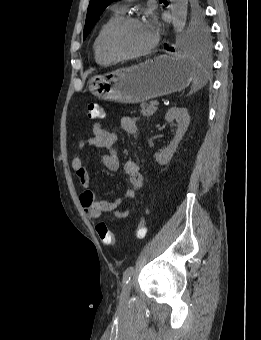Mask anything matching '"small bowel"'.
<instances>
[{
	"label": "small bowel",
	"instance_id": "c3829d8e",
	"mask_svg": "<svg viewBox=\"0 0 261 340\" xmlns=\"http://www.w3.org/2000/svg\"><path fill=\"white\" fill-rule=\"evenodd\" d=\"M136 122L137 119L135 117L125 116L121 119V126L126 132L132 136H136ZM92 131L93 136L87 140L80 141L78 149L82 150L87 145L102 149L104 152L102 155V162L105 167L111 171H117L120 168V159L116 149L118 135L100 124H95ZM72 168L83 189L80 195V203L91 219H98L104 213H112L119 219L126 218L129 215V208L120 209V207L124 201L132 200L135 197V193L143 186V176L140 173L138 161L136 159L131 158L125 161L124 172L128 177L130 189H128L123 196L116 198L114 201L96 199L95 192L89 189V171L78 154H76L72 160Z\"/></svg>",
	"mask_w": 261,
	"mask_h": 340
}]
</instances>
